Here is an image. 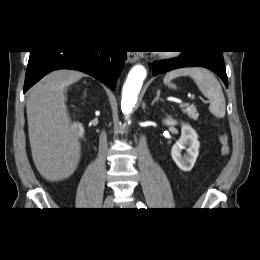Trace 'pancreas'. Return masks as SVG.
<instances>
[{
  "label": "pancreas",
  "mask_w": 260,
  "mask_h": 260,
  "mask_svg": "<svg viewBox=\"0 0 260 260\" xmlns=\"http://www.w3.org/2000/svg\"><path fill=\"white\" fill-rule=\"evenodd\" d=\"M183 113H186L191 119L197 120L199 117V113L194 105L182 106Z\"/></svg>",
  "instance_id": "1"
}]
</instances>
